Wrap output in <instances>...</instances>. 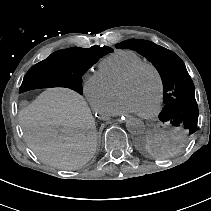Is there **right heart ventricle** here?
Masks as SVG:
<instances>
[{
	"label": "right heart ventricle",
	"mask_w": 211,
	"mask_h": 211,
	"mask_svg": "<svg viewBox=\"0 0 211 211\" xmlns=\"http://www.w3.org/2000/svg\"><path fill=\"white\" fill-rule=\"evenodd\" d=\"M142 62L145 60L135 52L119 51L99 63L98 73L113 88L120 78Z\"/></svg>",
	"instance_id": "e07e8e85"
}]
</instances>
